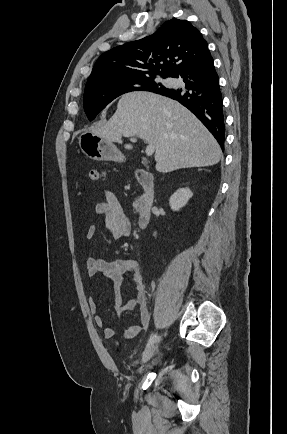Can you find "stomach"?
<instances>
[{
	"label": "stomach",
	"mask_w": 287,
	"mask_h": 434,
	"mask_svg": "<svg viewBox=\"0 0 287 434\" xmlns=\"http://www.w3.org/2000/svg\"><path fill=\"white\" fill-rule=\"evenodd\" d=\"M78 140L81 151L92 160L123 162L125 159L113 143L92 131L82 132Z\"/></svg>",
	"instance_id": "1"
}]
</instances>
